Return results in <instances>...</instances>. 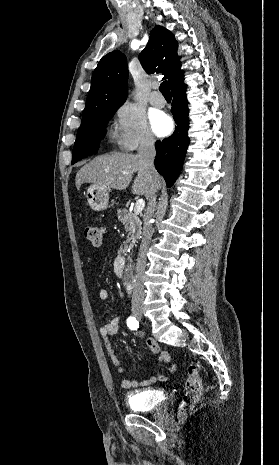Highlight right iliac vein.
<instances>
[{"mask_svg": "<svg viewBox=\"0 0 279 465\" xmlns=\"http://www.w3.org/2000/svg\"><path fill=\"white\" fill-rule=\"evenodd\" d=\"M133 314L137 317V318H141L142 317V314H143V311L141 308H135L133 310Z\"/></svg>", "mask_w": 279, "mask_h": 465, "instance_id": "1", "label": "right iliac vein"}]
</instances>
